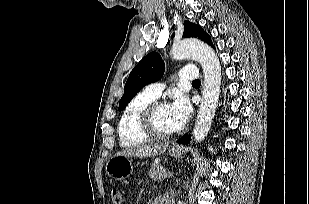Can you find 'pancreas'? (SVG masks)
<instances>
[{
	"label": "pancreas",
	"mask_w": 309,
	"mask_h": 204,
	"mask_svg": "<svg viewBox=\"0 0 309 204\" xmlns=\"http://www.w3.org/2000/svg\"><path fill=\"white\" fill-rule=\"evenodd\" d=\"M148 174L155 181H162L167 177V171L159 164H153Z\"/></svg>",
	"instance_id": "1"
}]
</instances>
